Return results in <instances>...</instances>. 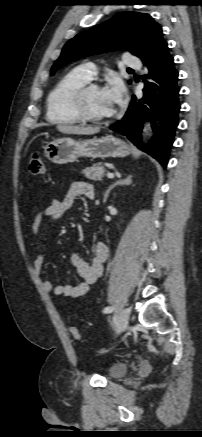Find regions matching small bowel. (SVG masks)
I'll return each mask as SVG.
<instances>
[{
    "label": "small bowel",
    "mask_w": 202,
    "mask_h": 437,
    "mask_svg": "<svg viewBox=\"0 0 202 437\" xmlns=\"http://www.w3.org/2000/svg\"><path fill=\"white\" fill-rule=\"evenodd\" d=\"M78 197L92 199L94 197V187L92 184L84 181L74 182L71 184L65 197L61 200L53 199L51 203L41 209L35 216L32 223V233L36 237L39 235L40 227L44 218L50 221L60 219L64 214L69 212L75 200ZM107 258V247L104 243L98 242L94 248V255L91 260H86L82 255L73 253L70 257L71 264L76 269L81 278V282L76 284H57L51 280H45L42 284L46 292H52L56 296L80 297L89 292L90 287L102 275L103 264ZM44 264V256L38 253L34 260V271L40 276Z\"/></svg>",
    "instance_id": "1"
}]
</instances>
